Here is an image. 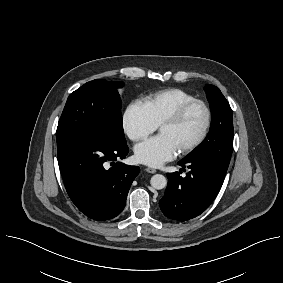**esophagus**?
<instances>
[{
	"label": "esophagus",
	"instance_id": "obj_1",
	"mask_svg": "<svg viewBox=\"0 0 283 283\" xmlns=\"http://www.w3.org/2000/svg\"><path fill=\"white\" fill-rule=\"evenodd\" d=\"M145 170H146V172L151 173V174H154V173L157 172L156 169L150 168V167H147Z\"/></svg>",
	"mask_w": 283,
	"mask_h": 283
}]
</instances>
